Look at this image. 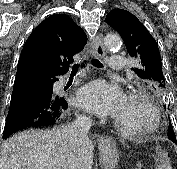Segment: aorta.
I'll use <instances>...</instances> for the list:
<instances>
[{
	"label": "aorta",
	"instance_id": "1",
	"mask_svg": "<svg viewBox=\"0 0 177 169\" xmlns=\"http://www.w3.org/2000/svg\"><path fill=\"white\" fill-rule=\"evenodd\" d=\"M104 43L107 49H113L121 45V39L118 35H107Z\"/></svg>",
	"mask_w": 177,
	"mask_h": 169
}]
</instances>
